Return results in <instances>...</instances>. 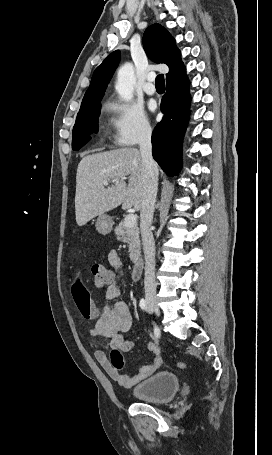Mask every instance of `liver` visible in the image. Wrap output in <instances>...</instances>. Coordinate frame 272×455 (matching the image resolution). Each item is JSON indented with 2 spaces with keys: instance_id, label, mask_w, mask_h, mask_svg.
<instances>
[{
  "instance_id": "6515ba94",
  "label": "liver",
  "mask_w": 272,
  "mask_h": 455,
  "mask_svg": "<svg viewBox=\"0 0 272 455\" xmlns=\"http://www.w3.org/2000/svg\"><path fill=\"white\" fill-rule=\"evenodd\" d=\"M103 181L115 184L105 188ZM143 192L142 158L137 149L119 148L87 155L78 164L76 174V222L83 226L121 204L123 209L140 210Z\"/></svg>"
}]
</instances>
